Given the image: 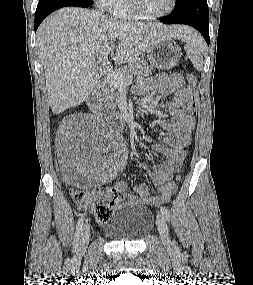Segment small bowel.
Returning a JSON list of instances; mask_svg holds the SVG:
<instances>
[{
    "mask_svg": "<svg viewBox=\"0 0 253 285\" xmlns=\"http://www.w3.org/2000/svg\"><path fill=\"white\" fill-rule=\"evenodd\" d=\"M157 92L168 98V111L172 119L161 123V128L166 134L162 144L153 145V150L162 155L165 161L156 165L152 170L144 166V169L152 179L153 184L159 185L157 192L152 193L144 183H137L134 187L136 194L128 195L130 204L151 205L167 203L176 188L164 190L166 183L172 175L179 171L186 157V149L191 143V132L194 128V118L186 114L185 104L190 98V93L184 88V79L180 74L167 76L159 74L154 77L144 78L137 82L133 94L136 98ZM65 150L67 147L65 146ZM127 184L118 181L114 188L125 192Z\"/></svg>",
    "mask_w": 253,
    "mask_h": 285,
    "instance_id": "small-bowel-1",
    "label": "small bowel"
}]
</instances>
